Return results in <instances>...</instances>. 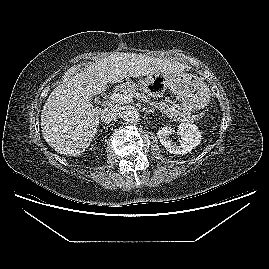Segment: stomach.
<instances>
[{
    "label": "stomach",
    "instance_id": "obj_1",
    "mask_svg": "<svg viewBox=\"0 0 269 269\" xmlns=\"http://www.w3.org/2000/svg\"><path fill=\"white\" fill-rule=\"evenodd\" d=\"M130 82L129 77L121 80L123 85H128ZM139 88L149 95H158L169 88L181 99L176 106L177 111L187 120H192L194 118L192 114L204 108L211 97L210 89L200 77L185 72L149 74L139 81Z\"/></svg>",
    "mask_w": 269,
    "mask_h": 269
}]
</instances>
